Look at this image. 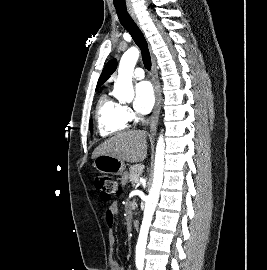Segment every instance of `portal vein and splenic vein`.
Segmentation results:
<instances>
[{"label":"portal vein and splenic vein","mask_w":267,"mask_h":270,"mask_svg":"<svg viewBox=\"0 0 267 270\" xmlns=\"http://www.w3.org/2000/svg\"><path fill=\"white\" fill-rule=\"evenodd\" d=\"M138 181H139V179L137 178V179H136V182H138Z\"/></svg>","instance_id":"portal-vein-and-splenic-vein-1"}]
</instances>
